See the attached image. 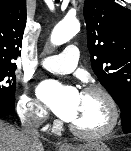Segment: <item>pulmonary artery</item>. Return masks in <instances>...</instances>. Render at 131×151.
<instances>
[{"label": "pulmonary artery", "mask_w": 131, "mask_h": 151, "mask_svg": "<svg viewBox=\"0 0 131 151\" xmlns=\"http://www.w3.org/2000/svg\"><path fill=\"white\" fill-rule=\"evenodd\" d=\"M78 59L79 49L76 45L71 44L62 53L45 58L41 64L50 72L68 74L76 68Z\"/></svg>", "instance_id": "obj_1"}]
</instances>
